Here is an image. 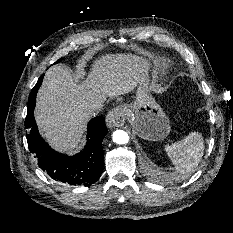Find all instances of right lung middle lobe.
Listing matches in <instances>:
<instances>
[{
    "instance_id": "dd1d6c3e",
    "label": "right lung middle lobe",
    "mask_w": 233,
    "mask_h": 233,
    "mask_svg": "<svg viewBox=\"0 0 233 233\" xmlns=\"http://www.w3.org/2000/svg\"><path fill=\"white\" fill-rule=\"evenodd\" d=\"M61 61V59H59L57 62H60Z\"/></svg>"
}]
</instances>
